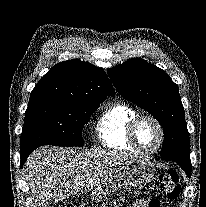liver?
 <instances>
[{
	"instance_id": "liver-1",
	"label": "liver",
	"mask_w": 206,
	"mask_h": 207,
	"mask_svg": "<svg viewBox=\"0 0 206 207\" xmlns=\"http://www.w3.org/2000/svg\"><path fill=\"white\" fill-rule=\"evenodd\" d=\"M137 159L136 155L112 150L42 146L31 153L24 165L33 207H48L89 191L101 197L102 185Z\"/></svg>"
}]
</instances>
